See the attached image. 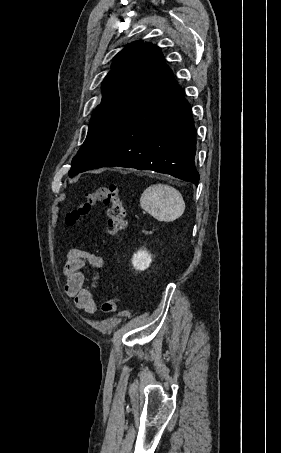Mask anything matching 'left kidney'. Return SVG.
Masks as SVG:
<instances>
[{"label": "left kidney", "mask_w": 281, "mask_h": 453, "mask_svg": "<svg viewBox=\"0 0 281 453\" xmlns=\"http://www.w3.org/2000/svg\"><path fill=\"white\" fill-rule=\"evenodd\" d=\"M150 263H152V259L148 251H137L133 255L132 265L136 271H145V269H148Z\"/></svg>", "instance_id": "1"}]
</instances>
